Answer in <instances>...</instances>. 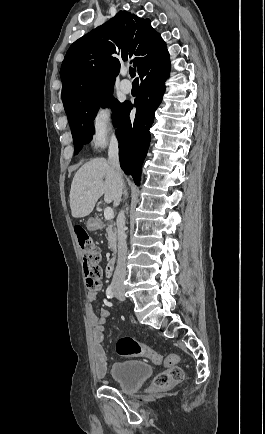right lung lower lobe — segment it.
I'll return each mask as SVG.
<instances>
[{"mask_svg": "<svg viewBox=\"0 0 265 434\" xmlns=\"http://www.w3.org/2000/svg\"><path fill=\"white\" fill-rule=\"evenodd\" d=\"M169 71L168 52L143 64L139 74L142 80L139 95L135 98L134 104L129 102L117 131L121 167L127 175H132L137 185L142 162L151 140L149 129L154 120V112L161 103L165 91L164 82L169 76ZM133 107L137 112L131 124L129 113Z\"/></svg>", "mask_w": 265, "mask_h": 434, "instance_id": "obj_1", "label": "right lung lower lobe"}]
</instances>
